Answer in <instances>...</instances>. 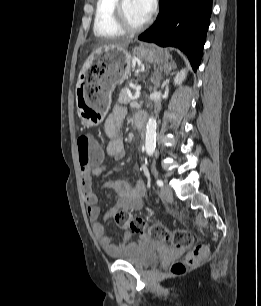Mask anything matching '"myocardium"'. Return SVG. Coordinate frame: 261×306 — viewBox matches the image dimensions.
<instances>
[{"mask_svg":"<svg viewBox=\"0 0 261 306\" xmlns=\"http://www.w3.org/2000/svg\"><path fill=\"white\" fill-rule=\"evenodd\" d=\"M124 0H118L116 6H115V15H116V21L119 25V27L125 32V33H138L146 28L148 25V20H145L140 25H133L129 22L125 11L123 7Z\"/></svg>","mask_w":261,"mask_h":306,"instance_id":"obj_1","label":"myocardium"}]
</instances>
